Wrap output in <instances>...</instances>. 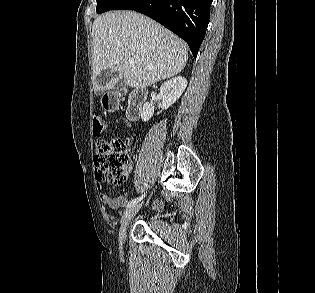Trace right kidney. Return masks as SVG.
Instances as JSON below:
<instances>
[{
  "label": "right kidney",
  "mask_w": 315,
  "mask_h": 293,
  "mask_svg": "<svg viewBox=\"0 0 315 293\" xmlns=\"http://www.w3.org/2000/svg\"><path fill=\"white\" fill-rule=\"evenodd\" d=\"M187 87V80L185 77L178 76L166 81L160 88L159 97L161 99V113L168 109L174 102H176ZM154 115V108L148 102L143 105L141 111V119L146 122Z\"/></svg>",
  "instance_id": "1"
}]
</instances>
